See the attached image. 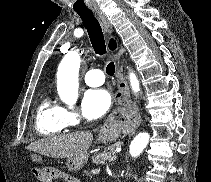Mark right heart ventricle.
Instances as JSON below:
<instances>
[{
    "mask_svg": "<svg viewBox=\"0 0 211 182\" xmlns=\"http://www.w3.org/2000/svg\"><path fill=\"white\" fill-rule=\"evenodd\" d=\"M68 127L64 108L45 97L39 104L35 117V129L40 136L52 137L64 132Z\"/></svg>",
    "mask_w": 211,
    "mask_h": 182,
    "instance_id": "1",
    "label": "right heart ventricle"
}]
</instances>
